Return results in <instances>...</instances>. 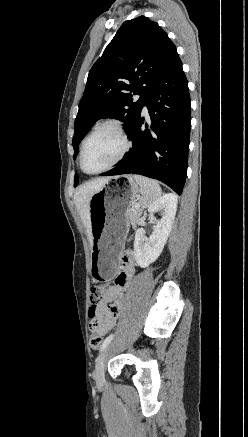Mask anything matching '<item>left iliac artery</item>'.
Wrapping results in <instances>:
<instances>
[{"label":"left iliac artery","mask_w":248,"mask_h":437,"mask_svg":"<svg viewBox=\"0 0 248 437\" xmlns=\"http://www.w3.org/2000/svg\"><path fill=\"white\" fill-rule=\"evenodd\" d=\"M113 337H114V334H110L105 340H104V342H103V344L101 345V348H100V352H102L104 349H105V347L112 341V339H113Z\"/></svg>","instance_id":"1"}]
</instances>
